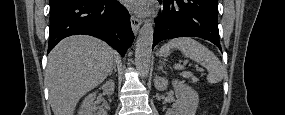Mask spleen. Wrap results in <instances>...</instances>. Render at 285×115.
I'll list each match as a JSON object with an SVG mask.
<instances>
[{"label": "spleen", "instance_id": "spleen-1", "mask_svg": "<svg viewBox=\"0 0 285 115\" xmlns=\"http://www.w3.org/2000/svg\"><path fill=\"white\" fill-rule=\"evenodd\" d=\"M173 48L179 49L184 56L191 58L204 66L208 71V83H218L223 79L226 71L221 61L212 51L200 42L189 37L176 38L170 40L167 44H164L161 49L163 51H168ZM174 68L176 70L184 69L181 64H175Z\"/></svg>", "mask_w": 285, "mask_h": 115}]
</instances>
